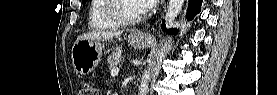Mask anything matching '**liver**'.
I'll return each instance as SVG.
<instances>
[{"label": "liver", "instance_id": "obj_1", "mask_svg": "<svg viewBox=\"0 0 277 95\" xmlns=\"http://www.w3.org/2000/svg\"><path fill=\"white\" fill-rule=\"evenodd\" d=\"M122 32H102L94 31L80 35L77 39H88L92 41H107L112 40L114 37H118Z\"/></svg>", "mask_w": 277, "mask_h": 95}]
</instances>
